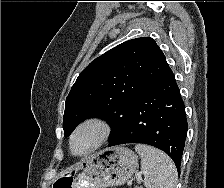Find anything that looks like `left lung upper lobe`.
I'll return each mask as SVG.
<instances>
[{"label": "left lung upper lobe", "instance_id": "left-lung-upper-lobe-1", "mask_svg": "<svg viewBox=\"0 0 224 188\" xmlns=\"http://www.w3.org/2000/svg\"><path fill=\"white\" fill-rule=\"evenodd\" d=\"M152 38L126 41L93 60L78 76L66 99L64 136L87 118L99 117L111 126V138L121 129L142 91L170 71Z\"/></svg>", "mask_w": 224, "mask_h": 188}]
</instances>
